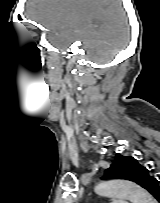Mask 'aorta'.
Returning <instances> with one entry per match:
<instances>
[{
    "mask_svg": "<svg viewBox=\"0 0 160 203\" xmlns=\"http://www.w3.org/2000/svg\"><path fill=\"white\" fill-rule=\"evenodd\" d=\"M96 192L103 196L123 197L130 200L131 203H155L146 190L130 181H104L98 184Z\"/></svg>",
    "mask_w": 160,
    "mask_h": 203,
    "instance_id": "762f6f07",
    "label": "aorta"
}]
</instances>
